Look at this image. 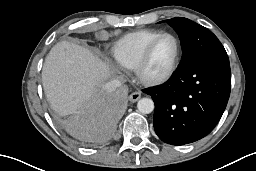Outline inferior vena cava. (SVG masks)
Wrapping results in <instances>:
<instances>
[{
  "instance_id": "obj_1",
  "label": "inferior vena cava",
  "mask_w": 256,
  "mask_h": 171,
  "mask_svg": "<svg viewBox=\"0 0 256 171\" xmlns=\"http://www.w3.org/2000/svg\"><path fill=\"white\" fill-rule=\"evenodd\" d=\"M121 86V82L117 79L111 80L105 84V89L108 92H114L118 87Z\"/></svg>"
}]
</instances>
